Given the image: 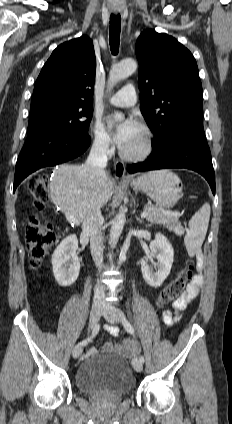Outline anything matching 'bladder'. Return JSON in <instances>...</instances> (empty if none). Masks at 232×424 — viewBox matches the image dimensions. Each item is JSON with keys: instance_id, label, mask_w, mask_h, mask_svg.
<instances>
[{"instance_id": "1", "label": "bladder", "mask_w": 232, "mask_h": 424, "mask_svg": "<svg viewBox=\"0 0 232 424\" xmlns=\"http://www.w3.org/2000/svg\"><path fill=\"white\" fill-rule=\"evenodd\" d=\"M75 382L88 394L124 395L134 388L136 379L126 359L97 355L80 364Z\"/></svg>"}]
</instances>
